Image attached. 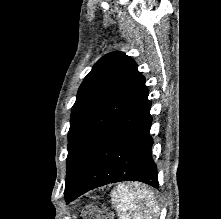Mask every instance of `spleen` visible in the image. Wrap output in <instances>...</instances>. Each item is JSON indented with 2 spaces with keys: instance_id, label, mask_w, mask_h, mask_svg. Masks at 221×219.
<instances>
[{
  "instance_id": "3e777b00",
  "label": "spleen",
  "mask_w": 221,
  "mask_h": 219,
  "mask_svg": "<svg viewBox=\"0 0 221 219\" xmlns=\"http://www.w3.org/2000/svg\"><path fill=\"white\" fill-rule=\"evenodd\" d=\"M120 219H156L159 207L153 193L140 183L119 184L111 193Z\"/></svg>"
}]
</instances>
